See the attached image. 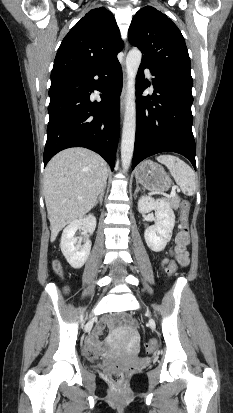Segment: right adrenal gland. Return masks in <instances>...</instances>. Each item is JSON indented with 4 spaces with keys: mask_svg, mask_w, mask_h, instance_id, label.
<instances>
[{
    "mask_svg": "<svg viewBox=\"0 0 233 413\" xmlns=\"http://www.w3.org/2000/svg\"><path fill=\"white\" fill-rule=\"evenodd\" d=\"M105 188H106V184H105L104 188L102 189L99 198L96 200L95 206H96L98 203L102 204V202H103V197H104V194H105Z\"/></svg>",
    "mask_w": 233,
    "mask_h": 413,
    "instance_id": "obj_1",
    "label": "right adrenal gland"
}]
</instances>
